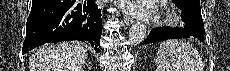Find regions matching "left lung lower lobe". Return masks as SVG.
<instances>
[{
  "instance_id": "obj_1",
  "label": "left lung lower lobe",
  "mask_w": 230,
  "mask_h": 71,
  "mask_svg": "<svg viewBox=\"0 0 230 71\" xmlns=\"http://www.w3.org/2000/svg\"><path fill=\"white\" fill-rule=\"evenodd\" d=\"M175 4L182 11V18L184 19L185 26L178 29H153L144 40L143 44L155 43L167 39H182L191 37L198 38L200 41L204 39L205 29L201 16L200 4L192 0H183Z\"/></svg>"
}]
</instances>
